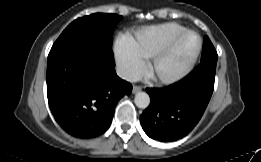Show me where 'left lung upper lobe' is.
<instances>
[{
	"mask_svg": "<svg viewBox=\"0 0 261 162\" xmlns=\"http://www.w3.org/2000/svg\"><path fill=\"white\" fill-rule=\"evenodd\" d=\"M210 60L217 61V52L210 39L207 36H205L201 62Z\"/></svg>",
	"mask_w": 261,
	"mask_h": 162,
	"instance_id": "1",
	"label": "left lung upper lobe"
}]
</instances>
